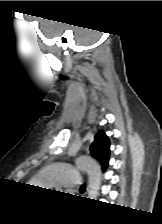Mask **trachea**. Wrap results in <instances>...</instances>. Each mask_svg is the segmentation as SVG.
Returning <instances> with one entry per match:
<instances>
[{"instance_id": "1", "label": "trachea", "mask_w": 162, "mask_h": 224, "mask_svg": "<svg viewBox=\"0 0 162 224\" xmlns=\"http://www.w3.org/2000/svg\"><path fill=\"white\" fill-rule=\"evenodd\" d=\"M85 189H86V188H85L84 185L80 187V190H85Z\"/></svg>"}]
</instances>
